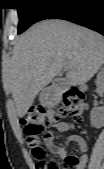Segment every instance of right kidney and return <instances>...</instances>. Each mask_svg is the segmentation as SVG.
I'll return each mask as SVG.
<instances>
[{
    "instance_id": "obj_1",
    "label": "right kidney",
    "mask_w": 104,
    "mask_h": 169,
    "mask_svg": "<svg viewBox=\"0 0 104 169\" xmlns=\"http://www.w3.org/2000/svg\"><path fill=\"white\" fill-rule=\"evenodd\" d=\"M96 85L98 87L104 86V69H102L96 79ZM91 124L96 128H101L104 124V112L101 111L99 108H94L91 111L90 115Z\"/></svg>"
}]
</instances>
